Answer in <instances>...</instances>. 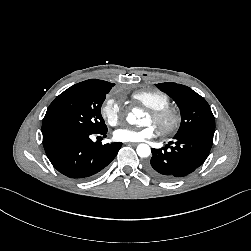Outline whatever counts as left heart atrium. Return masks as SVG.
<instances>
[{"label": "left heart atrium", "instance_id": "left-heart-atrium-1", "mask_svg": "<svg viewBox=\"0 0 251 251\" xmlns=\"http://www.w3.org/2000/svg\"><path fill=\"white\" fill-rule=\"evenodd\" d=\"M155 135V128L148 125L144 128H120L114 132V138L120 142H141Z\"/></svg>", "mask_w": 251, "mask_h": 251}]
</instances>
